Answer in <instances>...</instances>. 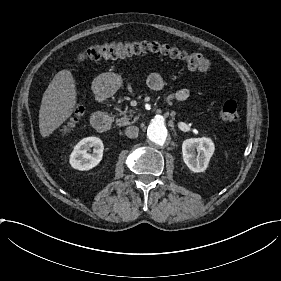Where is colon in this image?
I'll list each match as a JSON object with an SVG mask.
<instances>
[{"label":"colon","instance_id":"5ec220e1","mask_svg":"<svg viewBox=\"0 0 281 281\" xmlns=\"http://www.w3.org/2000/svg\"><path fill=\"white\" fill-rule=\"evenodd\" d=\"M147 54L158 55L169 60L185 62L200 72H206L210 61L200 53L182 50L166 44L147 41H124L108 44H96L78 53L79 63L98 61L103 59H125ZM221 118L229 123H238L239 113L232 101H225L219 106Z\"/></svg>","mask_w":281,"mask_h":281}]
</instances>
